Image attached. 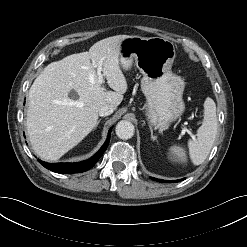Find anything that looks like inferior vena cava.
Returning <instances> with one entry per match:
<instances>
[{"label":"inferior vena cava","instance_id":"1","mask_svg":"<svg viewBox=\"0 0 247 247\" xmlns=\"http://www.w3.org/2000/svg\"><path fill=\"white\" fill-rule=\"evenodd\" d=\"M114 110L115 108L113 105L105 104L99 108L98 114L99 116L104 117L112 114Z\"/></svg>","mask_w":247,"mask_h":247}]
</instances>
